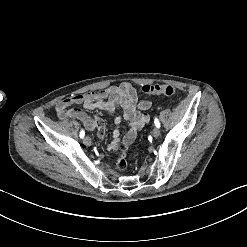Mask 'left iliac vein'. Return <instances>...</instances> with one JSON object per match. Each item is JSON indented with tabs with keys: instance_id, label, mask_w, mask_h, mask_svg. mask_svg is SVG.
Returning <instances> with one entry per match:
<instances>
[{
	"instance_id": "left-iliac-vein-1",
	"label": "left iliac vein",
	"mask_w": 247,
	"mask_h": 247,
	"mask_svg": "<svg viewBox=\"0 0 247 247\" xmlns=\"http://www.w3.org/2000/svg\"><path fill=\"white\" fill-rule=\"evenodd\" d=\"M152 136L154 138H158L160 136V129L158 127H154L152 131Z\"/></svg>"
}]
</instances>
